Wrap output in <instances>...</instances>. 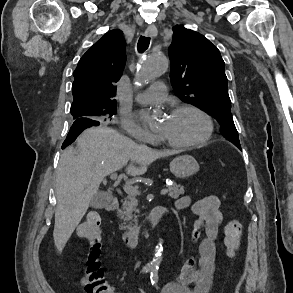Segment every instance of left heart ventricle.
<instances>
[{
	"label": "left heart ventricle",
	"mask_w": 293,
	"mask_h": 293,
	"mask_svg": "<svg viewBox=\"0 0 293 293\" xmlns=\"http://www.w3.org/2000/svg\"><path fill=\"white\" fill-rule=\"evenodd\" d=\"M206 130L204 119L193 111L165 116L160 122V136L177 141L192 142L201 138Z\"/></svg>",
	"instance_id": "b2bd125f"
}]
</instances>
